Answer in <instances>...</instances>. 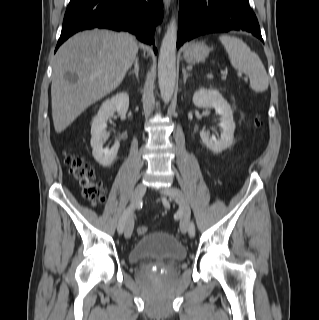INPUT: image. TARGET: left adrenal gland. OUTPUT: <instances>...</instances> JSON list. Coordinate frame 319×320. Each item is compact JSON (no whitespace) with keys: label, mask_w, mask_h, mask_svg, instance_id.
Returning a JSON list of instances; mask_svg holds the SVG:
<instances>
[{"label":"left adrenal gland","mask_w":319,"mask_h":320,"mask_svg":"<svg viewBox=\"0 0 319 320\" xmlns=\"http://www.w3.org/2000/svg\"><path fill=\"white\" fill-rule=\"evenodd\" d=\"M182 73H183V82H184V84H185L186 81H187V78H188L191 74L188 73L185 68L182 69Z\"/></svg>","instance_id":"left-adrenal-gland-1"}]
</instances>
